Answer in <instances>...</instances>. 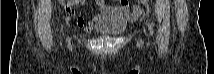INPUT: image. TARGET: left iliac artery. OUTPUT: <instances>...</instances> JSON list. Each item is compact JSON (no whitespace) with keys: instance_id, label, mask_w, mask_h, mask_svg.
I'll use <instances>...</instances> for the list:
<instances>
[{"instance_id":"obj_1","label":"left iliac artery","mask_w":214,"mask_h":74,"mask_svg":"<svg viewBox=\"0 0 214 74\" xmlns=\"http://www.w3.org/2000/svg\"><path fill=\"white\" fill-rule=\"evenodd\" d=\"M148 27H149V29H150V33H151V35L153 34V30H152V26H151V24L150 23H148Z\"/></svg>"}]
</instances>
